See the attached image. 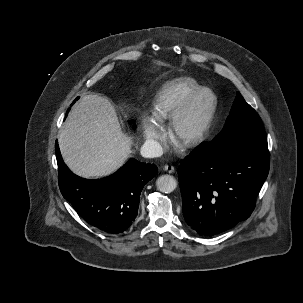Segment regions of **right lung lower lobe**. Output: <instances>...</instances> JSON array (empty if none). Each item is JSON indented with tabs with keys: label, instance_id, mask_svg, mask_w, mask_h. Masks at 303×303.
Returning <instances> with one entry per match:
<instances>
[{
	"label": "right lung lower lobe",
	"instance_id": "right-lung-lower-lobe-1",
	"mask_svg": "<svg viewBox=\"0 0 303 303\" xmlns=\"http://www.w3.org/2000/svg\"><path fill=\"white\" fill-rule=\"evenodd\" d=\"M55 151L60 191L77 213L104 232L118 234L128 230L137 216L144 185L157 173L156 165L130 159L111 176L89 180L69 170L57 141Z\"/></svg>",
	"mask_w": 303,
	"mask_h": 303
}]
</instances>
